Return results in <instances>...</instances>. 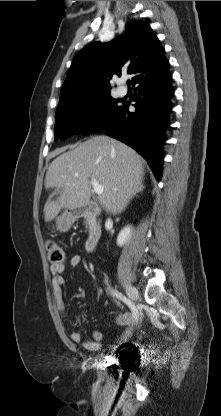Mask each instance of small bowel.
Masks as SVG:
<instances>
[{
	"instance_id": "obj_1",
	"label": "small bowel",
	"mask_w": 221,
	"mask_h": 416,
	"mask_svg": "<svg viewBox=\"0 0 221 416\" xmlns=\"http://www.w3.org/2000/svg\"><path fill=\"white\" fill-rule=\"evenodd\" d=\"M82 258L80 255H72L69 258V265L73 268L78 267L81 264ZM65 270L64 264H51L50 265V272L52 274V289H53V297L56 304V307L62 313H65V300H64V293H63V286L65 284V279L63 277V272ZM133 315L128 312L119 313L116 318L115 322L119 325L127 326L124 330L122 335L117 339V343H125L129 340L132 329L128 326L133 320ZM70 339L74 343H80L82 341L81 335L79 332H71L69 335ZM102 339V334L98 330H94L91 333V339L89 341L83 342V347L90 352H96L100 349V342Z\"/></svg>"
}]
</instances>
